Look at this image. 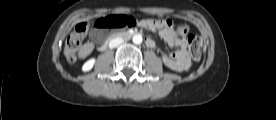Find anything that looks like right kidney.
I'll return each mask as SVG.
<instances>
[{"label": "right kidney", "mask_w": 276, "mask_h": 120, "mask_svg": "<svg viewBox=\"0 0 276 120\" xmlns=\"http://www.w3.org/2000/svg\"><path fill=\"white\" fill-rule=\"evenodd\" d=\"M95 64V59L92 58V59H89L88 61H86L82 67V70L83 71H89L92 69V67L94 66Z\"/></svg>", "instance_id": "1"}]
</instances>
